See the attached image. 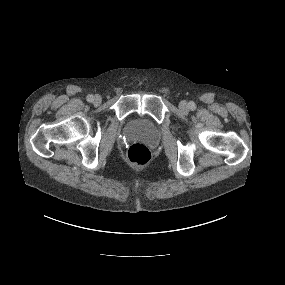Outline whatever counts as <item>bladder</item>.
Segmentation results:
<instances>
[{"label": "bladder", "mask_w": 285, "mask_h": 285, "mask_svg": "<svg viewBox=\"0 0 285 285\" xmlns=\"http://www.w3.org/2000/svg\"><path fill=\"white\" fill-rule=\"evenodd\" d=\"M130 130L146 142H151L157 138L156 131L148 126L133 124Z\"/></svg>", "instance_id": "obj_1"}]
</instances>
